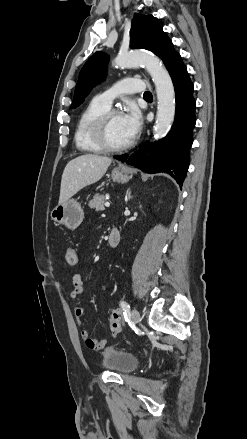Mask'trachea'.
I'll use <instances>...</instances> for the list:
<instances>
[{
    "mask_svg": "<svg viewBox=\"0 0 247 439\" xmlns=\"http://www.w3.org/2000/svg\"><path fill=\"white\" fill-rule=\"evenodd\" d=\"M143 97L144 98H152V94L150 92H145Z\"/></svg>",
    "mask_w": 247,
    "mask_h": 439,
    "instance_id": "obj_1",
    "label": "trachea"
}]
</instances>
